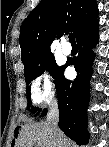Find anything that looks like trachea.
<instances>
[{
    "label": "trachea",
    "instance_id": "3493384b",
    "mask_svg": "<svg viewBox=\"0 0 109 147\" xmlns=\"http://www.w3.org/2000/svg\"><path fill=\"white\" fill-rule=\"evenodd\" d=\"M69 41H70V43H71L72 46H76V41H75L74 34H70L69 35Z\"/></svg>",
    "mask_w": 109,
    "mask_h": 147
}]
</instances>
